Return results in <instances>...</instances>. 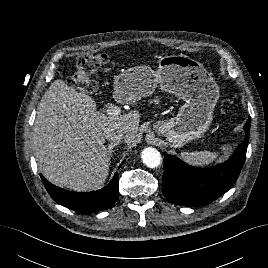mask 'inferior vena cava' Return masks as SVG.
Wrapping results in <instances>:
<instances>
[{
  "label": "inferior vena cava",
  "mask_w": 268,
  "mask_h": 268,
  "mask_svg": "<svg viewBox=\"0 0 268 268\" xmlns=\"http://www.w3.org/2000/svg\"><path fill=\"white\" fill-rule=\"evenodd\" d=\"M125 137V133L119 129L111 128L105 131V138L109 141H120Z\"/></svg>",
  "instance_id": "1"
}]
</instances>
